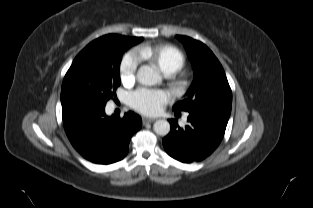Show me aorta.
<instances>
[{
  "instance_id": "762f6f07",
  "label": "aorta",
  "mask_w": 313,
  "mask_h": 208,
  "mask_svg": "<svg viewBox=\"0 0 313 208\" xmlns=\"http://www.w3.org/2000/svg\"><path fill=\"white\" fill-rule=\"evenodd\" d=\"M137 80L142 85L152 86L161 82L159 73L148 65H143L138 69ZM153 129L156 134L166 136L170 132V124L167 120H157Z\"/></svg>"
}]
</instances>
